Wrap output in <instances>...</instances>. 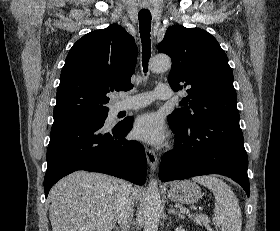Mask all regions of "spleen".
Wrapping results in <instances>:
<instances>
[{"mask_svg":"<svg viewBox=\"0 0 280 231\" xmlns=\"http://www.w3.org/2000/svg\"><path fill=\"white\" fill-rule=\"evenodd\" d=\"M194 181L212 189L215 199V219L221 231H241L242 217L238 199L231 187L215 175H197Z\"/></svg>","mask_w":280,"mask_h":231,"instance_id":"obj_1","label":"spleen"}]
</instances>
